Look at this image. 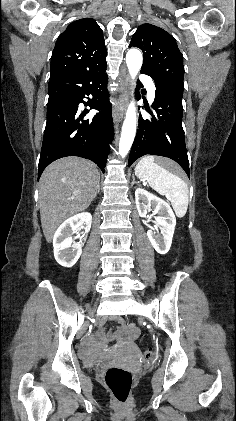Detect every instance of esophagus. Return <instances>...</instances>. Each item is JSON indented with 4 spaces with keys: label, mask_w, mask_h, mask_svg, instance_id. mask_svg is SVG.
<instances>
[{
    "label": "esophagus",
    "mask_w": 236,
    "mask_h": 421,
    "mask_svg": "<svg viewBox=\"0 0 236 421\" xmlns=\"http://www.w3.org/2000/svg\"><path fill=\"white\" fill-rule=\"evenodd\" d=\"M124 92L119 95L113 105V119L116 122L118 119H121L124 115L126 104L130 95V80L128 75L124 79Z\"/></svg>",
    "instance_id": "obj_1"
}]
</instances>
